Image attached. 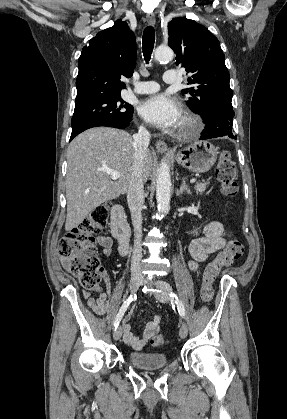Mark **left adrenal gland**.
Returning a JSON list of instances; mask_svg holds the SVG:
<instances>
[{
    "label": "left adrenal gland",
    "mask_w": 287,
    "mask_h": 419,
    "mask_svg": "<svg viewBox=\"0 0 287 419\" xmlns=\"http://www.w3.org/2000/svg\"><path fill=\"white\" fill-rule=\"evenodd\" d=\"M183 193L191 194L190 188L188 187V185L185 182V178H182V183H181L180 190H179L178 194L182 195Z\"/></svg>",
    "instance_id": "1"
}]
</instances>
